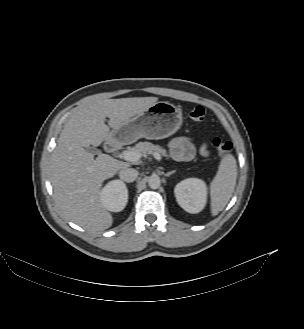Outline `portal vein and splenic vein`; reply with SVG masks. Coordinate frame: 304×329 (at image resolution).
I'll use <instances>...</instances> for the list:
<instances>
[{
	"label": "portal vein and splenic vein",
	"instance_id": "portal-vein-and-splenic-vein-1",
	"mask_svg": "<svg viewBox=\"0 0 304 329\" xmlns=\"http://www.w3.org/2000/svg\"><path fill=\"white\" fill-rule=\"evenodd\" d=\"M152 155L154 156L155 159L161 160V155L158 152H153ZM120 157L126 161L137 162L141 159L142 154L137 151L127 150V151H123L120 154Z\"/></svg>",
	"mask_w": 304,
	"mask_h": 329
}]
</instances>
